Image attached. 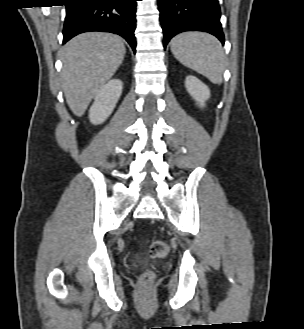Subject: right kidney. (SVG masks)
I'll return each instance as SVG.
<instances>
[{
  "instance_id": "obj_1",
  "label": "right kidney",
  "mask_w": 304,
  "mask_h": 329,
  "mask_svg": "<svg viewBox=\"0 0 304 329\" xmlns=\"http://www.w3.org/2000/svg\"><path fill=\"white\" fill-rule=\"evenodd\" d=\"M122 89L123 84L118 79H113L100 88L89 110L92 124H101L110 116L121 96Z\"/></svg>"
}]
</instances>
